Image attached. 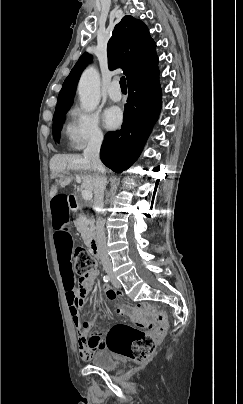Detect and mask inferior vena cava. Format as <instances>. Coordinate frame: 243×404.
I'll return each instance as SVG.
<instances>
[{"instance_id":"602c4592","label":"inferior vena cava","mask_w":243,"mask_h":404,"mask_svg":"<svg viewBox=\"0 0 243 404\" xmlns=\"http://www.w3.org/2000/svg\"><path fill=\"white\" fill-rule=\"evenodd\" d=\"M103 136L101 134H94L88 142L86 150H84V158L90 162L91 170L93 172V182H94V210L97 212L96 220V242L97 250L100 256L102 264H104L105 273H112V264L110 262L106 236H105V220L100 218L99 214H103V200H104V190L106 186V174L105 168L102 166V162L99 158L100 146L102 144Z\"/></svg>"}]
</instances>
